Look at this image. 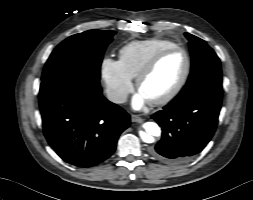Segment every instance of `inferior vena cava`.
Instances as JSON below:
<instances>
[{"mask_svg":"<svg viewBox=\"0 0 253 200\" xmlns=\"http://www.w3.org/2000/svg\"><path fill=\"white\" fill-rule=\"evenodd\" d=\"M107 98L113 103H125L127 100V94L122 91L108 90Z\"/></svg>","mask_w":253,"mask_h":200,"instance_id":"obj_1","label":"inferior vena cava"}]
</instances>
